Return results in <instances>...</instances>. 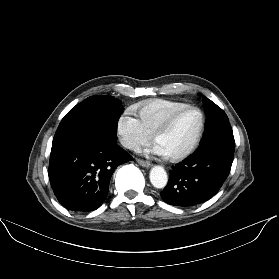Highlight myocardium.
Masks as SVG:
<instances>
[{
	"mask_svg": "<svg viewBox=\"0 0 279 279\" xmlns=\"http://www.w3.org/2000/svg\"><path fill=\"white\" fill-rule=\"evenodd\" d=\"M186 110H195L199 114V126L191 143L183 152L177 155L167 156V159L170 160L171 162H179L188 158L197 147L204 129L205 121H204L203 112L201 111L200 108L193 105L183 106L175 110L174 112H172L153 134V140L157 141V139L160 136L165 134L171 128L176 118Z\"/></svg>",
	"mask_w": 279,
	"mask_h": 279,
	"instance_id": "f54148a6",
	"label": "myocardium"
}]
</instances>
